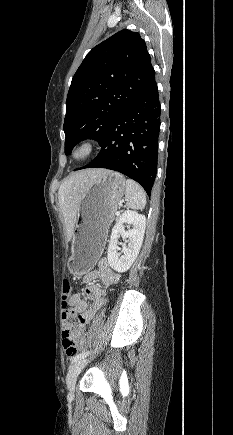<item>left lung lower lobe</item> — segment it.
<instances>
[{
  "mask_svg": "<svg viewBox=\"0 0 233 435\" xmlns=\"http://www.w3.org/2000/svg\"><path fill=\"white\" fill-rule=\"evenodd\" d=\"M160 103L155 74L137 98L113 121L96 159L79 169L107 168L140 183L148 196L157 172Z\"/></svg>",
  "mask_w": 233,
  "mask_h": 435,
  "instance_id": "0a47b994",
  "label": "left lung lower lobe"
}]
</instances>
